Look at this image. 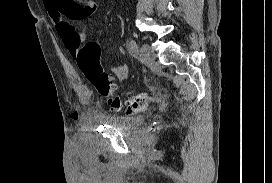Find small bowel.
<instances>
[{"label":"small bowel","instance_id":"1","mask_svg":"<svg viewBox=\"0 0 272 183\" xmlns=\"http://www.w3.org/2000/svg\"><path fill=\"white\" fill-rule=\"evenodd\" d=\"M45 9L56 24L58 34L65 47L74 59H77L80 47L85 41L87 30L76 32L72 21L86 19L97 10L96 2L92 0H43ZM119 52L124 53V48L119 47ZM114 76L118 80H125L130 75V68L126 64L119 63L112 68Z\"/></svg>","mask_w":272,"mask_h":183}]
</instances>
